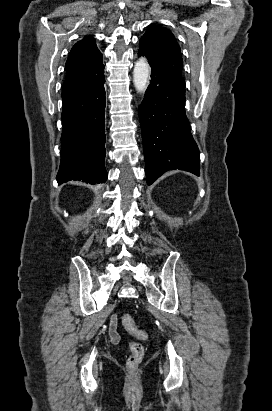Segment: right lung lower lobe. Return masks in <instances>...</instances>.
<instances>
[{"label":"right lung lower lobe","instance_id":"right-lung-lower-lobe-1","mask_svg":"<svg viewBox=\"0 0 272 411\" xmlns=\"http://www.w3.org/2000/svg\"><path fill=\"white\" fill-rule=\"evenodd\" d=\"M105 79L93 87L63 98L59 183L107 180L105 159Z\"/></svg>","mask_w":272,"mask_h":411}]
</instances>
